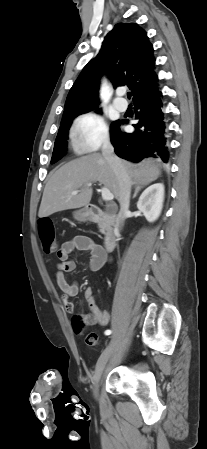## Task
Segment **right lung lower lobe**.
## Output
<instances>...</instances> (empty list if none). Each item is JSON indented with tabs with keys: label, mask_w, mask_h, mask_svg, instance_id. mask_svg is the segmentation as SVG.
<instances>
[{
	"label": "right lung lower lobe",
	"mask_w": 207,
	"mask_h": 449,
	"mask_svg": "<svg viewBox=\"0 0 207 449\" xmlns=\"http://www.w3.org/2000/svg\"><path fill=\"white\" fill-rule=\"evenodd\" d=\"M133 102L135 118L139 120L133 124L136 130L132 133L122 132L119 125L127 120L117 121L111 129V142L115 153L134 162L148 157L160 158L167 162L168 140L161 92L157 88L150 94L137 97Z\"/></svg>",
	"instance_id": "obj_1"
}]
</instances>
